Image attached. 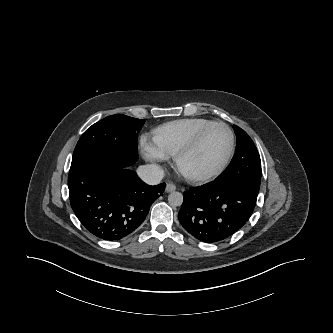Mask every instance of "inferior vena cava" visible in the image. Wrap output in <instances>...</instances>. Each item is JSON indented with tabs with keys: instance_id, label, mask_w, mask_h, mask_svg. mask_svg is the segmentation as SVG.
<instances>
[{
	"instance_id": "1",
	"label": "inferior vena cava",
	"mask_w": 333,
	"mask_h": 333,
	"mask_svg": "<svg viewBox=\"0 0 333 333\" xmlns=\"http://www.w3.org/2000/svg\"><path fill=\"white\" fill-rule=\"evenodd\" d=\"M138 176L149 185H157L164 177V170L156 164L140 166L137 170Z\"/></svg>"
}]
</instances>
